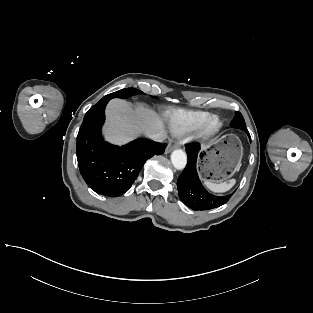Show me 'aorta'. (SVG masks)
Segmentation results:
<instances>
[{
	"label": "aorta",
	"instance_id": "762f6f07",
	"mask_svg": "<svg viewBox=\"0 0 313 313\" xmlns=\"http://www.w3.org/2000/svg\"><path fill=\"white\" fill-rule=\"evenodd\" d=\"M171 162L177 170L184 169L187 164L186 153L181 149L174 150L171 154Z\"/></svg>",
	"mask_w": 313,
	"mask_h": 313
}]
</instances>
